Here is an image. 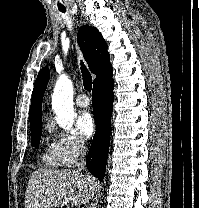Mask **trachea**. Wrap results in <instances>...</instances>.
<instances>
[{"mask_svg":"<svg viewBox=\"0 0 199 208\" xmlns=\"http://www.w3.org/2000/svg\"><path fill=\"white\" fill-rule=\"evenodd\" d=\"M60 11L61 12H65L66 10L65 9H61ZM80 65H81V72H82V77H83V85H84V88L87 91L90 92L91 89H92V77H91L88 69L84 65V63L81 62Z\"/></svg>","mask_w":199,"mask_h":208,"instance_id":"obj_1","label":"trachea"}]
</instances>
